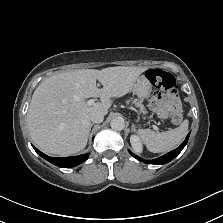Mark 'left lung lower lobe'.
Returning <instances> with one entry per match:
<instances>
[{
    "mask_svg": "<svg viewBox=\"0 0 223 223\" xmlns=\"http://www.w3.org/2000/svg\"><path fill=\"white\" fill-rule=\"evenodd\" d=\"M189 136H190V133L187 135L184 142L177 149H175V150H173V151H171L157 159L144 161V160L140 159L138 156L134 155L132 152H130V154L133 157H135L136 159L144 161L145 163H148V164H166V163L170 162L171 160H173L182 151V149L185 147V145L188 142Z\"/></svg>",
    "mask_w": 223,
    "mask_h": 223,
    "instance_id": "left-lung-lower-lobe-1",
    "label": "left lung lower lobe"
}]
</instances>
